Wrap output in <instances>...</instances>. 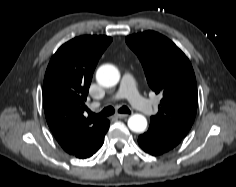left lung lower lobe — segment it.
<instances>
[{
    "label": "left lung lower lobe",
    "instance_id": "1",
    "mask_svg": "<svg viewBox=\"0 0 236 187\" xmlns=\"http://www.w3.org/2000/svg\"><path fill=\"white\" fill-rule=\"evenodd\" d=\"M181 139L150 124L148 131L139 136L138 143L145 152L157 156L173 149Z\"/></svg>",
    "mask_w": 236,
    "mask_h": 187
}]
</instances>
